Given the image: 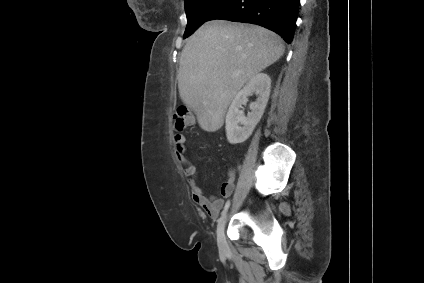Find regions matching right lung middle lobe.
I'll use <instances>...</instances> for the list:
<instances>
[{
    "label": "right lung middle lobe",
    "mask_w": 424,
    "mask_h": 283,
    "mask_svg": "<svg viewBox=\"0 0 424 283\" xmlns=\"http://www.w3.org/2000/svg\"><path fill=\"white\" fill-rule=\"evenodd\" d=\"M229 0H185L187 27L183 38L193 34L203 23L209 21L212 15Z\"/></svg>",
    "instance_id": "dd1d6c3e"
}]
</instances>
